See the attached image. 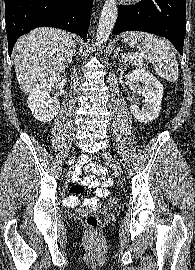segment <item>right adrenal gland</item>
<instances>
[{
	"label": "right adrenal gland",
	"instance_id": "obj_1",
	"mask_svg": "<svg viewBox=\"0 0 195 270\" xmlns=\"http://www.w3.org/2000/svg\"><path fill=\"white\" fill-rule=\"evenodd\" d=\"M76 51H77V48H76V46H75L74 52H73V54H72V58H73L74 56H76ZM72 58H71L70 62L72 61Z\"/></svg>",
	"mask_w": 195,
	"mask_h": 270
}]
</instances>
